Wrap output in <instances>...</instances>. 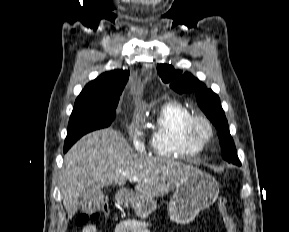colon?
<instances>
[{
    "label": "colon",
    "mask_w": 289,
    "mask_h": 232,
    "mask_svg": "<svg viewBox=\"0 0 289 232\" xmlns=\"http://www.w3.org/2000/svg\"><path fill=\"white\" fill-rule=\"evenodd\" d=\"M216 204H217V208L219 210L220 216L224 222L226 232H237L235 221L228 211L227 198L224 196H220L217 199ZM109 212L110 211H109L108 205L104 204L101 207L100 211L98 212H94L91 214H86V213L80 214L76 219V224L78 226H81V225H84L88 221V219L96 220L101 216L107 217L109 215Z\"/></svg>",
    "instance_id": "1"
}]
</instances>
